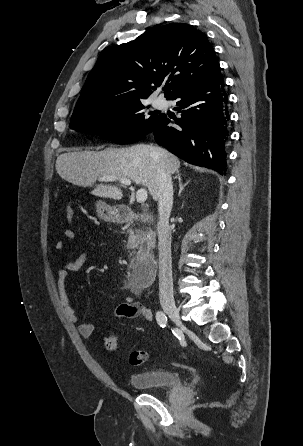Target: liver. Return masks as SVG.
I'll list each match as a JSON object with an SVG mask.
<instances>
[{
    "label": "liver",
    "instance_id": "6515ba94",
    "mask_svg": "<svg viewBox=\"0 0 303 446\" xmlns=\"http://www.w3.org/2000/svg\"><path fill=\"white\" fill-rule=\"evenodd\" d=\"M59 176L78 186L92 187L103 176L126 177L148 188L158 200L159 168L174 174L180 168L179 159L166 149L138 144L129 148H106L102 151H74L59 155L56 160ZM91 194L119 200L123 194L117 186L98 184Z\"/></svg>",
    "mask_w": 303,
    "mask_h": 446
}]
</instances>
